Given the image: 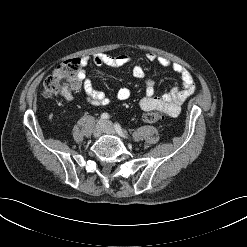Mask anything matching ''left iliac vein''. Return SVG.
I'll return each mask as SVG.
<instances>
[{"label": "left iliac vein", "mask_w": 247, "mask_h": 247, "mask_svg": "<svg viewBox=\"0 0 247 247\" xmlns=\"http://www.w3.org/2000/svg\"><path fill=\"white\" fill-rule=\"evenodd\" d=\"M104 124H105V128H104L103 131L105 133H108V134H116V132H115V130L113 128V125H112V123L110 121H105Z\"/></svg>", "instance_id": "obj_1"}]
</instances>
